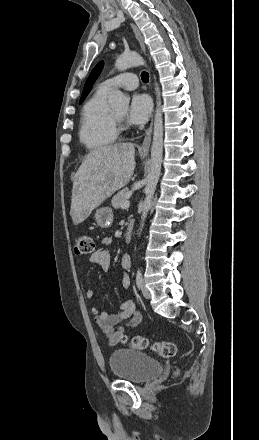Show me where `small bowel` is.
I'll return each instance as SVG.
<instances>
[{
    "label": "small bowel",
    "mask_w": 259,
    "mask_h": 440,
    "mask_svg": "<svg viewBox=\"0 0 259 440\" xmlns=\"http://www.w3.org/2000/svg\"><path fill=\"white\" fill-rule=\"evenodd\" d=\"M106 240L109 241L110 239L106 238ZM89 260L91 263L98 265L103 271H107L111 263L110 253L104 249L94 251ZM121 267L125 271L130 269L131 258L128 254L122 256ZM121 283L124 288L130 286L131 279L127 273L123 274ZM85 294L88 299H92L95 296V292L92 289H88ZM91 313L94 315L98 327L107 336L111 346L118 344L124 337L126 327H136L143 322V317L136 310L135 302L132 299L122 303L117 313L101 311L97 306L91 307Z\"/></svg>",
    "instance_id": "obj_1"
}]
</instances>
